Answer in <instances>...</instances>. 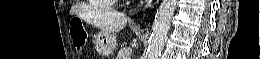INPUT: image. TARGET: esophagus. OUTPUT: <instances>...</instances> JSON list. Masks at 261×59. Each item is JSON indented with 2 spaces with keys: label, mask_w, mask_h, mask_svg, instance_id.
Returning a JSON list of instances; mask_svg holds the SVG:
<instances>
[{
  "label": "esophagus",
  "mask_w": 261,
  "mask_h": 59,
  "mask_svg": "<svg viewBox=\"0 0 261 59\" xmlns=\"http://www.w3.org/2000/svg\"><path fill=\"white\" fill-rule=\"evenodd\" d=\"M150 1H145L142 10L145 11L149 7Z\"/></svg>",
  "instance_id": "esophagus-1"
}]
</instances>
